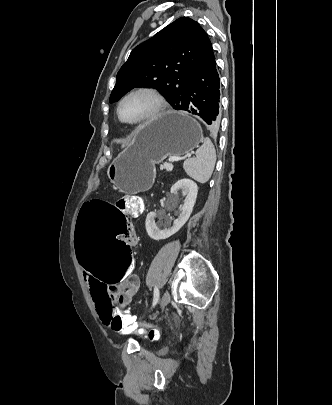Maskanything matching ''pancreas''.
I'll use <instances>...</instances> for the list:
<instances>
[{
	"instance_id": "pancreas-1",
	"label": "pancreas",
	"mask_w": 332,
	"mask_h": 405,
	"mask_svg": "<svg viewBox=\"0 0 332 405\" xmlns=\"http://www.w3.org/2000/svg\"><path fill=\"white\" fill-rule=\"evenodd\" d=\"M170 165H171L170 163L165 162L162 165H160V169L161 170L165 169L167 171H172L173 167L170 168Z\"/></svg>"
}]
</instances>
